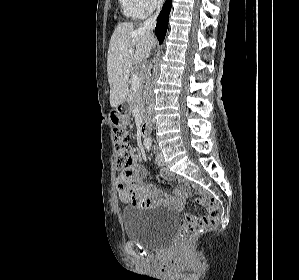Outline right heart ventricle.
Segmentation results:
<instances>
[{"instance_id": "obj_1", "label": "right heart ventricle", "mask_w": 299, "mask_h": 280, "mask_svg": "<svg viewBox=\"0 0 299 280\" xmlns=\"http://www.w3.org/2000/svg\"><path fill=\"white\" fill-rule=\"evenodd\" d=\"M122 12L125 16L132 19H139L145 16L136 0H119Z\"/></svg>"}]
</instances>
